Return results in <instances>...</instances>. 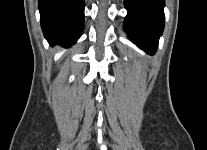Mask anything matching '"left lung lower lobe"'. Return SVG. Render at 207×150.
<instances>
[{"mask_svg":"<svg viewBox=\"0 0 207 150\" xmlns=\"http://www.w3.org/2000/svg\"><path fill=\"white\" fill-rule=\"evenodd\" d=\"M124 31L131 41L154 53L164 29V0H124Z\"/></svg>","mask_w":207,"mask_h":150,"instance_id":"obj_1","label":"left lung lower lobe"}]
</instances>
